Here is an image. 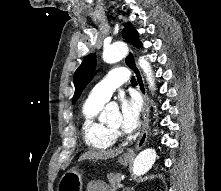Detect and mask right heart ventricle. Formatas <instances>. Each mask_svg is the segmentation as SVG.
<instances>
[{
	"instance_id": "obj_1",
	"label": "right heart ventricle",
	"mask_w": 221,
	"mask_h": 191,
	"mask_svg": "<svg viewBox=\"0 0 221 191\" xmlns=\"http://www.w3.org/2000/svg\"><path fill=\"white\" fill-rule=\"evenodd\" d=\"M103 105L87 99L81 109L82 135L90 148L107 149L115 143V135L98 119Z\"/></svg>"
}]
</instances>
